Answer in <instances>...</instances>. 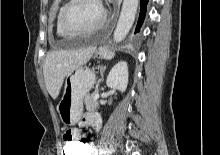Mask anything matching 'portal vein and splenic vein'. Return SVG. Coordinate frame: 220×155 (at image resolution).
Here are the masks:
<instances>
[{"mask_svg": "<svg viewBox=\"0 0 220 155\" xmlns=\"http://www.w3.org/2000/svg\"><path fill=\"white\" fill-rule=\"evenodd\" d=\"M99 98V93L98 92H95L94 93V99L96 100V99H98Z\"/></svg>", "mask_w": 220, "mask_h": 155, "instance_id": "portal-vein-and-splenic-vein-1", "label": "portal vein and splenic vein"}]
</instances>
